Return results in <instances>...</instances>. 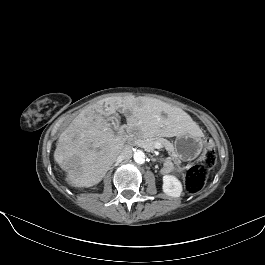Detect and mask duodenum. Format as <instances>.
<instances>
[{
  "mask_svg": "<svg viewBox=\"0 0 265 265\" xmlns=\"http://www.w3.org/2000/svg\"><path fill=\"white\" fill-rule=\"evenodd\" d=\"M119 135H120L121 137H125V136H126V131H125V130H121V131L119 132Z\"/></svg>",
  "mask_w": 265,
  "mask_h": 265,
  "instance_id": "obj_1",
  "label": "duodenum"
}]
</instances>
